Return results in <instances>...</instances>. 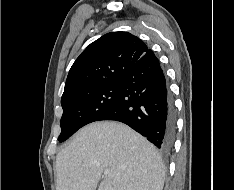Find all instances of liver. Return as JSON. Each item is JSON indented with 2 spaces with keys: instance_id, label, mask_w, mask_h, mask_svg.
Listing matches in <instances>:
<instances>
[{
  "instance_id": "liver-1",
  "label": "liver",
  "mask_w": 234,
  "mask_h": 190,
  "mask_svg": "<svg viewBox=\"0 0 234 190\" xmlns=\"http://www.w3.org/2000/svg\"><path fill=\"white\" fill-rule=\"evenodd\" d=\"M56 190H162L165 167L155 147L125 124L80 129L56 158Z\"/></svg>"
}]
</instances>
